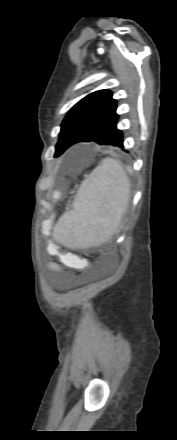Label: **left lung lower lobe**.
<instances>
[{"mask_svg": "<svg viewBox=\"0 0 177 440\" xmlns=\"http://www.w3.org/2000/svg\"><path fill=\"white\" fill-rule=\"evenodd\" d=\"M118 115L99 126L79 142H96L100 145H113L123 148L122 131L117 128Z\"/></svg>", "mask_w": 177, "mask_h": 440, "instance_id": "obj_1", "label": "left lung lower lobe"}]
</instances>
